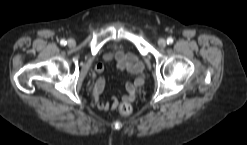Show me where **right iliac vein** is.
<instances>
[{
	"label": "right iliac vein",
	"mask_w": 247,
	"mask_h": 145,
	"mask_svg": "<svg viewBox=\"0 0 247 145\" xmlns=\"http://www.w3.org/2000/svg\"><path fill=\"white\" fill-rule=\"evenodd\" d=\"M67 43H68V46H69V47H74L75 44H76V43H75V40H73V39H69Z\"/></svg>",
	"instance_id": "obj_1"
}]
</instances>
